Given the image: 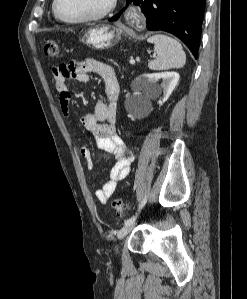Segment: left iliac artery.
Returning a JSON list of instances; mask_svg holds the SVG:
<instances>
[{
  "label": "left iliac artery",
  "instance_id": "1",
  "mask_svg": "<svg viewBox=\"0 0 247 299\" xmlns=\"http://www.w3.org/2000/svg\"><path fill=\"white\" fill-rule=\"evenodd\" d=\"M146 202H147V198H144L143 201L141 202V204L138 207V212L141 211V209L144 207V205L146 204ZM137 215H138V213H136L135 215H133L132 217H130L129 219H127L124 224L127 225V224H130V223H133L136 220Z\"/></svg>",
  "mask_w": 247,
  "mask_h": 299
}]
</instances>
